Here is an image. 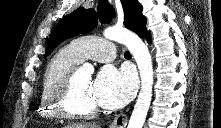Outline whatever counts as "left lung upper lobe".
<instances>
[{"instance_id": "obj_1", "label": "left lung upper lobe", "mask_w": 221, "mask_h": 128, "mask_svg": "<svg viewBox=\"0 0 221 128\" xmlns=\"http://www.w3.org/2000/svg\"><path fill=\"white\" fill-rule=\"evenodd\" d=\"M124 10V25L140 37L147 33L146 18L142 15V6L137 0H121ZM114 11L110 4L103 0L99 3L97 11L94 9L78 8L65 16L54 28L49 37L45 56L62 41L80 34L92 31L100 21L110 22Z\"/></svg>"}]
</instances>
